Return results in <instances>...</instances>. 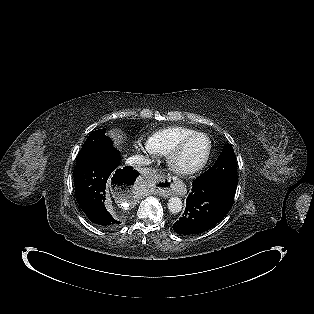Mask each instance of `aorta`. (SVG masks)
Wrapping results in <instances>:
<instances>
[{
  "label": "aorta",
  "mask_w": 314,
  "mask_h": 314,
  "mask_svg": "<svg viewBox=\"0 0 314 314\" xmlns=\"http://www.w3.org/2000/svg\"><path fill=\"white\" fill-rule=\"evenodd\" d=\"M168 210L172 214H177L182 210V201L178 197H171L168 201Z\"/></svg>",
  "instance_id": "aorta-1"
}]
</instances>
